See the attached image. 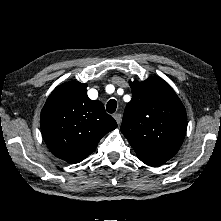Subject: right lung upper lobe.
<instances>
[{
    "label": "right lung upper lobe",
    "instance_id": "cb5924a9",
    "mask_svg": "<svg viewBox=\"0 0 221 221\" xmlns=\"http://www.w3.org/2000/svg\"><path fill=\"white\" fill-rule=\"evenodd\" d=\"M87 84L68 82L48 97L40 118L43 139L51 153L79 163L95 151L100 139L117 127L100 101L90 100Z\"/></svg>",
    "mask_w": 221,
    "mask_h": 221
}]
</instances>
